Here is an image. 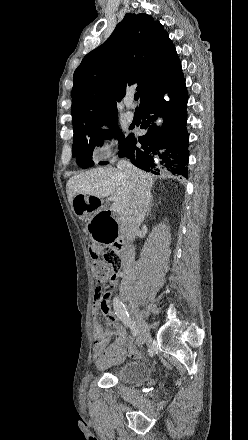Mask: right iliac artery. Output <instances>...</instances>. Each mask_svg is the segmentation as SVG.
Wrapping results in <instances>:
<instances>
[{
  "label": "right iliac artery",
  "instance_id": "obj_1",
  "mask_svg": "<svg viewBox=\"0 0 248 440\" xmlns=\"http://www.w3.org/2000/svg\"><path fill=\"white\" fill-rule=\"evenodd\" d=\"M113 305H114L115 314H117L119 319L131 329L133 335L136 336L138 334L136 323L131 320L124 304L119 299V297L114 298Z\"/></svg>",
  "mask_w": 248,
  "mask_h": 440
}]
</instances>
